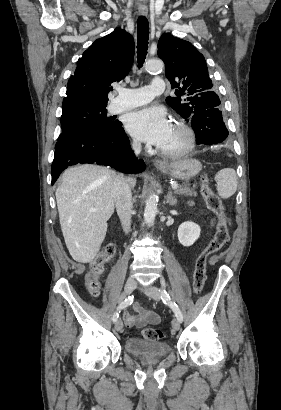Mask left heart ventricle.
Segmentation results:
<instances>
[{
	"instance_id": "b2bd125f",
	"label": "left heart ventricle",
	"mask_w": 281,
	"mask_h": 410,
	"mask_svg": "<svg viewBox=\"0 0 281 410\" xmlns=\"http://www.w3.org/2000/svg\"><path fill=\"white\" fill-rule=\"evenodd\" d=\"M186 142V137L184 133L175 125L172 124L171 130L166 138V140L159 146V148L164 150H177L181 148Z\"/></svg>"
}]
</instances>
